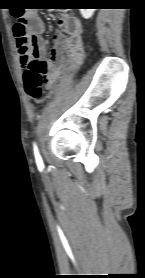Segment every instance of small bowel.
<instances>
[{
  "label": "small bowel",
  "mask_w": 145,
  "mask_h": 278,
  "mask_svg": "<svg viewBox=\"0 0 145 278\" xmlns=\"http://www.w3.org/2000/svg\"><path fill=\"white\" fill-rule=\"evenodd\" d=\"M22 17L26 20L30 35L29 50L20 51L18 48L22 68H27L31 57L47 55L49 69L47 80L48 85L52 86L60 75L65 55L72 58L77 66L82 63V24L79 19L67 15L60 17L58 25L62 31H58L54 35L53 46L48 50L42 37L45 23L37 12L30 11Z\"/></svg>",
  "instance_id": "c3829d8e"
}]
</instances>
